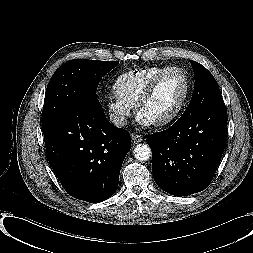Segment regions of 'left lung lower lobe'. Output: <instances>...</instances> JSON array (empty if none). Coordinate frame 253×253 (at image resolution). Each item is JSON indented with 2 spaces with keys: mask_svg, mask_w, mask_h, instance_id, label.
Instances as JSON below:
<instances>
[{
  "mask_svg": "<svg viewBox=\"0 0 253 253\" xmlns=\"http://www.w3.org/2000/svg\"><path fill=\"white\" fill-rule=\"evenodd\" d=\"M223 100L182 115L168 129L147 138L156 184L175 196L204 190L212 181L226 144Z\"/></svg>",
  "mask_w": 253,
  "mask_h": 253,
  "instance_id": "1",
  "label": "left lung lower lobe"
}]
</instances>
